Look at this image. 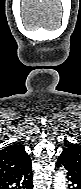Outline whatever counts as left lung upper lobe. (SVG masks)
I'll return each instance as SVG.
<instances>
[{"label":"left lung upper lobe","mask_w":81,"mask_h":189,"mask_svg":"<svg viewBox=\"0 0 81 189\" xmlns=\"http://www.w3.org/2000/svg\"><path fill=\"white\" fill-rule=\"evenodd\" d=\"M62 154L76 170L81 172V145L71 143L63 150Z\"/></svg>","instance_id":"5c2ea615"}]
</instances>
